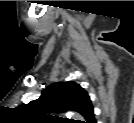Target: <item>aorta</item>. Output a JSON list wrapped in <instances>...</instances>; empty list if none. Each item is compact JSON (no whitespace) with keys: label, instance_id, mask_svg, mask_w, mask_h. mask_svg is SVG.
Instances as JSON below:
<instances>
[{"label":"aorta","instance_id":"aorta-1","mask_svg":"<svg viewBox=\"0 0 134 123\" xmlns=\"http://www.w3.org/2000/svg\"><path fill=\"white\" fill-rule=\"evenodd\" d=\"M71 116L74 117V118H80V116L76 113H71Z\"/></svg>","mask_w":134,"mask_h":123}]
</instances>
